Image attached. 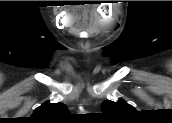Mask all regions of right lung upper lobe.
Here are the masks:
<instances>
[{
    "label": "right lung upper lobe",
    "mask_w": 172,
    "mask_h": 123,
    "mask_svg": "<svg viewBox=\"0 0 172 123\" xmlns=\"http://www.w3.org/2000/svg\"><path fill=\"white\" fill-rule=\"evenodd\" d=\"M68 115L69 111L65 104L46 101L35 109L28 120L35 123H54L65 119Z\"/></svg>",
    "instance_id": "1"
}]
</instances>
